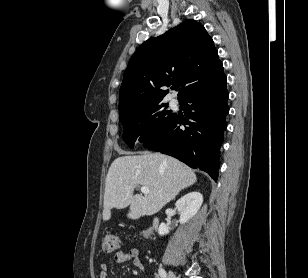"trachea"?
<instances>
[{
  "instance_id": "obj_1",
  "label": "trachea",
  "mask_w": 308,
  "mask_h": 278,
  "mask_svg": "<svg viewBox=\"0 0 308 278\" xmlns=\"http://www.w3.org/2000/svg\"><path fill=\"white\" fill-rule=\"evenodd\" d=\"M173 89L174 90H179V87L178 86H174Z\"/></svg>"
}]
</instances>
